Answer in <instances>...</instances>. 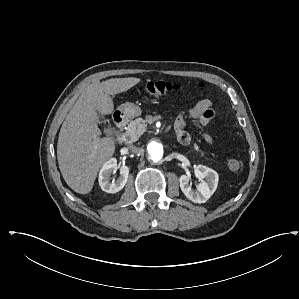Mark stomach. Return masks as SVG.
Segmentation results:
<instances>
[{"instance_id":"stomach-1","label":"stomach","mask_w":299,"mask_h":299,"mask_svg":"<svg viewBox=\"0 0 299 299\" xmlns=\"http://www.w3.org/2000/svg\"><path fill=\"white\" fill-rule=\"evenodd\" d=\"M119 111L123 114V116L127 119H133L137 116H140L142 113L141 108L131 102H126L119 106Z\"/></svg>"}]
</instances>
